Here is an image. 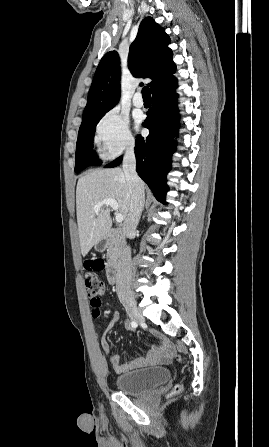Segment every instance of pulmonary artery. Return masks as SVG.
Wrapping results in <instances>:
<instances>
[{"instance_id": "1", "label": "pulmonary artery", "mask_w": 269, "mask_h": 447, "mask_svg": "<svg viewBox=\"0 0 269 447\" xmlns=\"http://www.w3.org/2000/svg\"><path fill=\"white\" fill-rule=\"evenodd\" d=\"M133 104L138 108H141L144 105V100L141 94L137 93L134 95Z\"/></svg>"}]
</instances>
